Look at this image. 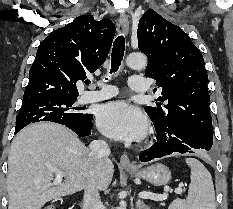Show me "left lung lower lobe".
Segmentation results:
<instances>
[{"label": "left lung lower lobe", "mask_w": 233, "mask_h": 209, "mask_svg": "<svg viewBox=\"0 0 233 209\" xmlns=\"http://www.w3.org/2000/svg\"><path fill=\"white\" fill-rule=\"evenodd\" d=\"M157 142L139 156L141 162L170 155L174 152H192V149L209 151L213 144V133L201 130L187 122L153 123Z\"/></svg>", "instance_id": "1"}]
</instances>
